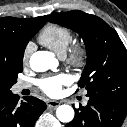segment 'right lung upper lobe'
Masks as SVG:
<instances>
[{
    "label": "right lung upper lobe",
    "instance_id": "right-lung-upper-lobe-1",
    "mask_svg": "<svg viewBox=\"0 0 127 127\" xmlns=\"http://www.w3.org/2000/svg\"><path fill=\"white\" fill-rule=\"evenodd\" d=\"M47 19L48 15L36 18H0V62L23 59L27 38L41 29ZM2 95L5 94L0 93V97Z\"/></svg>",
    "mask_w": 127,
    "mask_h": 127
}]
</instances>
